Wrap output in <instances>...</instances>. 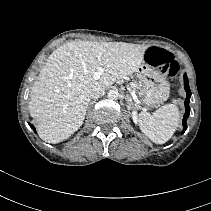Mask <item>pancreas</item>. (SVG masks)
Returning a JSON list of instances; mask_svg holds the SVG:
<instances>
[{
	"mask_svg": "<svg viewBox=\"0 0 211 211\" xmlns=\"http://www.w3.org/2000/svg\"><path fill=\"white\" fill-rule=\"evenodd\" d=\"M134 91H139L140 95H143L144 86L140 82H134L132 85Z\"/></svg>",
	"mask_w": 211,
	"mask_h": 211,
	"instance_id": "pancreas-1",
	"label": "pancreas"
}]
</instances>
